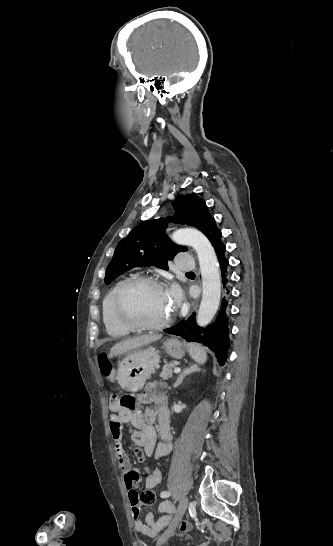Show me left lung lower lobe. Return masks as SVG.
Returning a JSON list of instances; mask_svg holds the SVG:
<instances>
[{
    "instance_id": "left-lung-lower-lobe-1",
    "label": "left lung lower lobe",
    "mask_w": 333,
    "mask_h": 546,
    "mask_svg": "<svg viewBox=\"0 0 333 546\" xmlns=\"http://www.w3.org/2000/svg\"><path fill=\"white\" fill-rule=\"evenodd\" d=\"M221 236V231L217 228L216 222H213L207 238L216 250L225 287L228 281L226 277L228 260L225 257L226 247L221 241ZM228 316L227 301L223 299L216 321L210 326L206 328L199 327L195 321V314H193L186 321L179 322L175 326L166 329L165 332L181 336L188 342L195 341L204 344L215 353L218 363L224 365L227 359L229 342Z\"/></svg>"
}]
</instances>
